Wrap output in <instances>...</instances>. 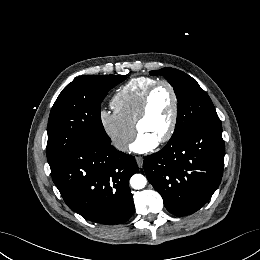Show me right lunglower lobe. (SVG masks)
<instances>
[{"label":"right lung lower lobe","instance_id":"98d812e1","mask_svg":"<svg viewBox=\"0 0 260 260\" xmlns=\"http://www.w3.org/2000/svg\"><path fill=\"white\" fill-rule=\"evenodd\" d=\"M50 168L66 204L85 219L109 225L132 216L128 184L138 169L133 156L113 146L83 145L64 153Z\"/></svg>","mask_w":260,"mask_h":260}]
</instances>
